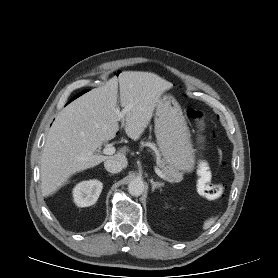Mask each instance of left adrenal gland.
<instances>
[{
	"label": "left adrenal gland",
	"mask_w": 278,
	"mask_h": 278,
	"mask_svg": "<svg viewBox=\"0 0 278 278\" xmlns=\"http://www.w3.org/2000/svg\"><path fill=\"white\" fill-rule=\"evenodd\" d=\"M150 182H151V185H152V192H154L155 189L162 190V187L164 186V183L155 182L153 179H151Z\"/></svg>",
	"instance_id": "1"
}]
</instances>
